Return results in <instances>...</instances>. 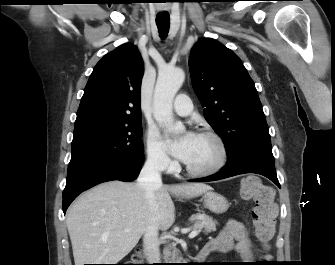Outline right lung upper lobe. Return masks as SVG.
<instances>
[{
  "mask_svg": "<svg viewBox=\"0 0 335 265\" xmlns=\"http://www.w3.org/2000/svg\"><path fill=\"white\" fill-rule=\"evenodd\" d=\"M143 73L136 46L126 43L106 54L87 82L75 128L140 120Z\"/></svg>",
  "mask_w": 335,
  "mask_h": 265,
  "instance_id": "right-lung-upper-lobe-1",
  "label": "right lung upper lobe"
}]
</instances>
